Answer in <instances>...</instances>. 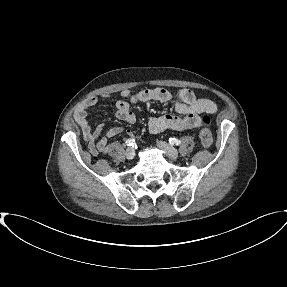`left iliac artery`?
<instances>
[{
    "label": "left iliac artery",
    "instance_id": "obj_1",
    "mask_svg": "<svg viewBox=\"0 0 287 287\" xmlns=\"http://www.w3.org/2000/svg\"><path fill=\"white\" fill-rule=\"evenodd\" d=\"M169 143L172 144V145H180L181 144V141L179 139H176V138H169Z\"/></svg>",
    "mask_w": 287,
    "mask_h": 287
}]
</instances>
